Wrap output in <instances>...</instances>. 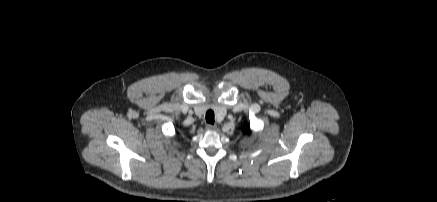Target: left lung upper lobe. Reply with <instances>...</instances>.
<instances>
[{
	"instance_id": "obj_1",
	"label": "left lung upper lobe",
	"mask_w": 437,
	"mask_h": 202,
	"mask_svg": "<svg viewBox=\"0 0 437 202\" xmlns=\"http://www.w3.org/2000/svg\"><path fill=\"white\" fill-rule=\"evenodd\" d=\"M244 132L250 133L249 125H246V126L244 127Z\"/></svg>"
}]
</instances>
